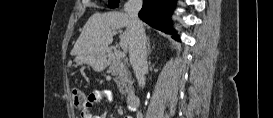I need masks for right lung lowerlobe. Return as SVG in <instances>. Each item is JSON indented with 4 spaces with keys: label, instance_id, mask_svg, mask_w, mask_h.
I'll use <instances>...</instances> for the list:
<instances>
[{
    "label": "right lung lower lobe",
    "instance_id": "98d812e1",
    "mask_svg": "<svg viewBox=\"0 0 273 118\" xmlns=\"http://www.w3.org/2000/svg\"><path fill=\"white\" fill-rule=\"evenodd\" d=\"M176 0H143V7L139 12V17L165 33H174L172 29L171 14L174 10ZM177 40L178 37L173 35Z\"/></svg>",
    "mask_w": 273,
    "mask_h": 118
}]
</instances>
